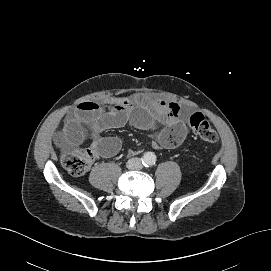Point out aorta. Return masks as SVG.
<instances>
[{"mask_svg":"<svg viewBox=\"0 0 271 271\" xmlns=\"http://www.w3.org/2000/svg\"><path fill=\"white\" fill-rule=\"evenodd\" d=\"M143 162L146 165H152L155 163V156L152 153H146L143 157Z\"/></svg>","mask_w":271,"mask_h":271,"instance_id":"762f6f07","label":"aorta"}]
</instances>
